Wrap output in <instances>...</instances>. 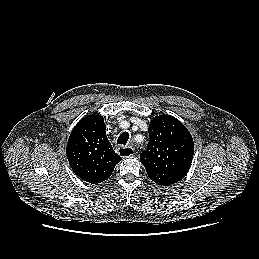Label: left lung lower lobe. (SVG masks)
Returning a JSON list of instances; mask_svg holds the SVG:
<instances>
[{
  "label": "left lung lower lobe",
  "instance_id": "1",
  "mask_svg": "<svg viewBox=\"0 0 259 259\" xmlns=\"http://www.w3.org/2000/svg\"><path fill=\"white\" fill-rule=\"evenodd\" d=\"M150 179H152L154 182H156L159 185L169 186L180 181L182 178H180L177 175L164 174L162 176L150 178Z\"/></svg>",
  "mask_w": 259,
  "mask_h": 259
}]
</instances>
